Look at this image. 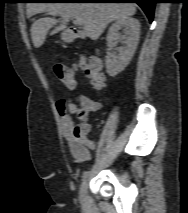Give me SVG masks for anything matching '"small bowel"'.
Instances as JSON below:
<instances>
[{
  "instance_id": "c3829d8e",
  "label": "small bowel",
  "mask_w": 188,
  "mask_h": 213,
  "mask_svg": "<svg viewBox=\"0 0 188 213\" xmlns=\"http://www.w3.org/2000/svg\"><path fill=\"white\" fill-rule=\"evenodd\" d=\"M57 108L73 159L78 163L88 162L92 158V151L96 149V145L88 138L90 125L86 118L90 113L101 108V102L81 95L69 100H60ZM71 114L78 115L80 119L78 124L73 122Z\"/></svg>"
}]
</instances>
